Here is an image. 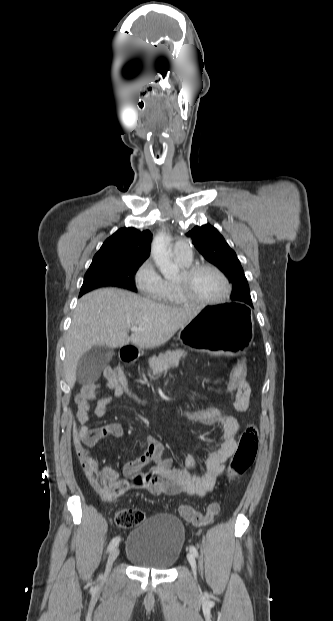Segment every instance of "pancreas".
Listing matches in <instances>:
<instances>
[{
    "label": "pancreas",
    "mask_w": 333,
    "mask_h": 621,
    "mask_svg": "<svg viewBox=\"0 0 333 621\" xmlns=\"http://www.w3.org/2000/svg\"><path fill=\"white\" fill-rule=\"evenodd\" d=\"M187 352L182 349L167 350L164 354L153 356L149 358L150 371L149 376L160 375L170 368H175L179 365L181 358L186 356Z\"/></svg>",
    "instance_id": "obj_1"
}]
</instances>
